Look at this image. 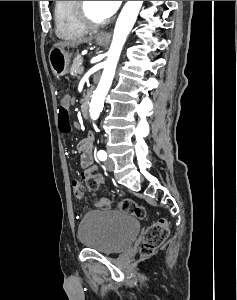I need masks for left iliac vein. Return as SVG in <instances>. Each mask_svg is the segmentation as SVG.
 I'll list each match as a JSON object with an SVG mask.
<instances>
[{
  "mask_svg": "<svg viewBox=\"0 0 237 300\" xmlns=\"http://www.w3.org/2000/svg\"><path fill=\"white\" fill-rule=\"evenodd\" d=\"M105 167L108 171H113L114 170V162L112 159H107L105 161Z\"/></svg>",
  "mask_w": 237,
  "mask_h": 300,
  "instance_id": "left-iliac-vein-1",
  "label": "left iliac vein"
}]
</instances>
